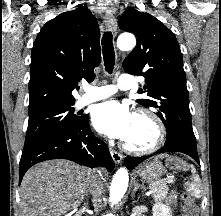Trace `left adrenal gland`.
<instances>
[{"label":"left adrenal gland","mask_w":221,"mask_h":216,"mask_svg":"<svg viewBox=\"0 0 221 216\" xmlns=\"http://www.w3.org/2000/svg\"><path fill=\"white\" fill-rule=\"evenodd\" d=\"M140 188V185L138 184V182L134 183V188H133V191H132V197L134 198L135 197V192Z\"/></svg>","instance_id":"left-adrenal-gland-1"}]
</instances>
